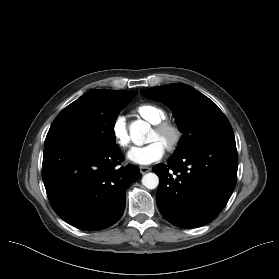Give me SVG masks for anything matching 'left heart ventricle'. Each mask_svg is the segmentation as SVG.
<instances>
[{"mask_svg":"<svg viewBox=\"0 0 279 279\" xmlns=\"http://www.w3.org/2000/svg\"><path fill=\"white\" fill-rule=\"evenodd\" d=\"M168 139V136H160L158 135L154 130L151 131L149 138H148V142H152L154 140H157L159 142H161L163 145L165 144V141Z\"/></svg>","mask_w":279,"mask_h":279,"instance_id":"b2bd125f","label":"left heart ventricle"}]
</instances>
